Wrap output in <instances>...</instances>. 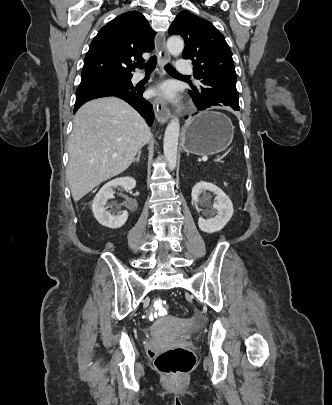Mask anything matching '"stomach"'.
Listing matches in <instances>:
<instances>
[{
	"label": "stomach",
	"mask_w": 332,
	"mask_h": 405,
	"mask_svg": "<svg viewBox=\"0 0 332 405\" xmlns=\"http://www.w3.org/2000/svg\"><path fill=\"white\" fill-rule=\"evenodd\" d=\"M233 139V125L222 113L204 111L184 126L183 149L187 153L209 156L228 148Z\"/></svg>",
	"instance_id": "0dacf381"
}]
</instances>
